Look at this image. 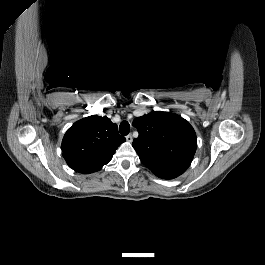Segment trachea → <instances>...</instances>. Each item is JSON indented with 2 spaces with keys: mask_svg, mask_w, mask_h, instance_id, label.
Returning a JSON list of instances; mask_svg holds the SVG:
<instances>
[{
  "mask_svg": "<svg viewBox=\"0 0 265 265\" xmlns=\"http://www.w3.org/2000/svg\"><path fill=\"white\" fill-rule=\"evenodd\" d=\"M119 132L120 134L126 136L130 132V125L127 121H122L120 126H119Z\"/></svg>",
  "mask_w": 265,
  "mask_h": 265,
  "instance_id": "3493384b",
  "label": "trachea"
}]
</instances>
